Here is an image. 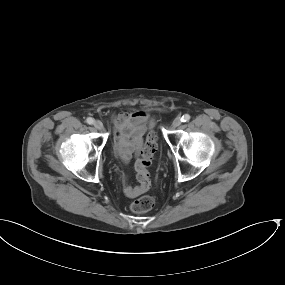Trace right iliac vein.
<instances>
[{
    "label": "right iliac vein",
    "instance_id": "right-iliac-vein-1",
    "mask_svg": "<svg viewBox=\"0 0 285 285\" xmlns=\"http://www.w3.org/2000/svg\"><path fill=\"white\" fill-rule=\"evenodd\" d=\"M94 127L97 129V130H102L103 129V124L100 120H96L94 121Z\"/></svg>",
    "mask_w": 285,
    "mask_h": 285
}]
</instances>
